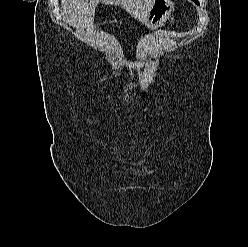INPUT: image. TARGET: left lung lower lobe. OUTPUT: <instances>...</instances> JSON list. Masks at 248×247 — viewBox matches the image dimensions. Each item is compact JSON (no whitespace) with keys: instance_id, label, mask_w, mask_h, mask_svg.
I'll use <instances>...</instances> for the list:
<instances>
[{"instance_id":"1","label":"left lung lower lobe","mask_w":248,"mask_h":247,"mask_svg":"<svg viewBox=\"0 0 248 247\" xmlns=\"http://www.w3.org/2000/svg\"><path fill=\"white\" fill-rule=\"evenodd\" d=\"M197 5H199V2H198V0H193Z\"/></svg>"}]
</instances>
